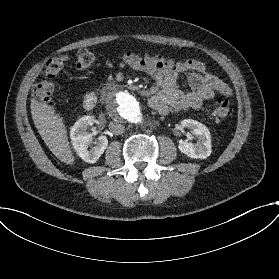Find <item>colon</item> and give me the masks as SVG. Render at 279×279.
<instances>
[{
    "mask_svg": "<svg viewBox=\"0 0 279 279\" xmlns=\"http://www.w3.org/2000/svg\"><path fill=\"white\" fill-rule=\"evenodd\" d=\"M67 59L66 54H57L48 60L44 68L46 79L33 88L34 99L43 102H48L51 99L55 92V83L52 78L60 74ZM95 60L96 55L86 48H81L76 52V66L80 69L89 67ZM230 113L231 107L226 100L216 101L211 111V115L215 120H224Z\"/></svg>",
    "mask_w": 279,
    "mask_h": 279,
    "instance_id": "5ec220e1",
    "label": "colon"
}]
</instances>
